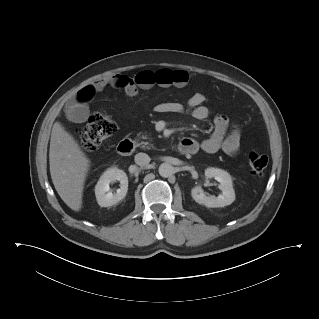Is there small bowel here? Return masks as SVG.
Returning a JSON list of instances; mask_svg holds the SVG:
<instances>
[{"mask_svg":"<svg viewBox=\"0 0 319 319\" xmlns=\"http://www.w3.org/2000/svg\"><path fill=\"white\" fill-rule=\"evenodd\" d=\"M188 73L185 70L160 69L157 71L145 70L134 79L125 75H112L94 84L83 87L77 95L76 101L70 106V118L75 122L85 121L89 115V108L85 104L95 94L105 89H122L128 96L138 94V88L149 89L154 84L162 87L183 86L188 81ZM206 97L202 93H194L186 104L179 102H166L158 104L155 111L158 113H184L189 111L197 120H206L211 115V110L205 105ZM214 131L212 135L201 142L192 138H185L194 144L191 154L200 149L207 153H215L219 150L228 155H236L240 149L241 133L236 126L230 125L229 118L224 114H217L213 119Z\"/></svg>","mask_w":319,"mask_h":319,"instance_id":"c3829d8e","label":"small bowel"}]
</instances>
